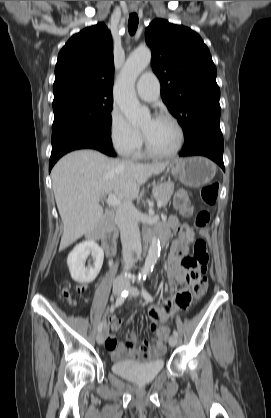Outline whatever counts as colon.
Here are the masks:
<instances>
[{
    "instance_id": "1",
    "label": "colon",
    "mask_w": 271,
    "mask_h": 418,
    "mask_svg": "<svg viewBox=\"0 0 271 418\" xmlns=\"http://www.w3.org/2000/svg\"><path fill=\"white\" fill-rule=\"evenodd\" d=\"M219 192V186L217 183H211L201 188L199 197L200 200L208 206H212L216 203ZM175 208L184 215H189L192 212V205L190 200V192L186 189H180L174 196ZM210 219V214L207 210H200L195 218V225L197 228L204 227ZM209 264V253L206 242L197 238L194 241L193 255L192 257H184L182 259V266L185 270L191 271L195 277V284L193 291L196 297H201L207 289L206 271ZM63 294L66 298H69L68 291L65 289ZM183 304L189 303V299L184 298ZM152 330L155 326H151Z\"/></svg>"
}]
</instances>
